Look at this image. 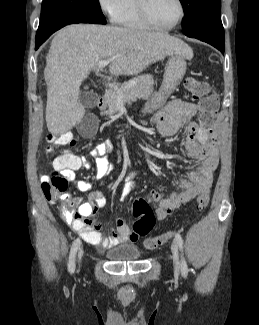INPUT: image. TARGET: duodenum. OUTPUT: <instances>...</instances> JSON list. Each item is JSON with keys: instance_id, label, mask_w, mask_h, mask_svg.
<instances>
[{"instance_id": "obj_1", "label": "duodenum", "mask_w": 259, "mask_h": 325, "mask_svg": "<svg viewBox=\"0 0 259 325\" xmlns=\"http://www.w3.org/2000/svg\"><path fill=\"white\" fill-rule=\"evenodd\" d=\"M97 106L99 109H103L105 107V100L103 97H100L98 99Z\"/></svg>"}]
</instances>
